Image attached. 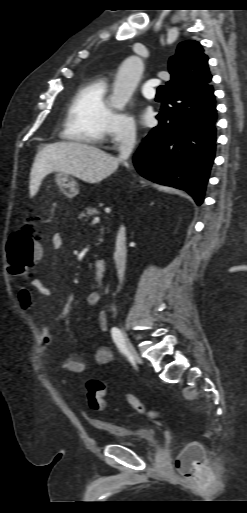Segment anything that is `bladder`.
<instances>
[{"instance_id":"1","label":"bladder","mask_w":247,"mask_h":513,"mask_svg":"<svg viewBox=\"0 0 247 513\" xmlns=\"http://www.w3.org/2000/svg\"><path fill=\"white\" fill-rule=\"evenodd\" d=\"M98 429L111 433L119 442L144 441L148 444L155 443L154 433L147 428H127L109 422L98 421L94 424Z\"/></svg>"}]
</instances>
